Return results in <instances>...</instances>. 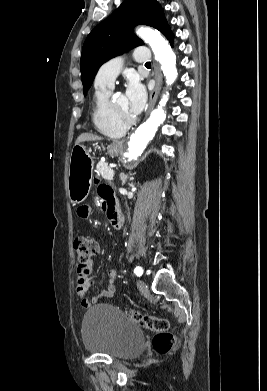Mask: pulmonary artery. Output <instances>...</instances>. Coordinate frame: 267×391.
Returning a JSON list of instances; mask_svg holds the SVG:
<instances>
[{
    "label": "pulmonary artery",
    "mask_w": 267,
    "mask_h": 391,
    "mask_svg": "<svg viewBox=\"0 0 267 391\" xmlns=\"http://www.w3.org/2000/svg\"><path fill=\"white\" fill-rule=\"evenodd\" d=\"M133 57L136 62L145 63L149 61L150 52L146 47H137L133 52ZM122 65L123 57L121 56L104 63L96 75L95 86L112 88Z\"/></svg>",
    "instance_id": "pulmonary-artery-1"
}]
</instances>
